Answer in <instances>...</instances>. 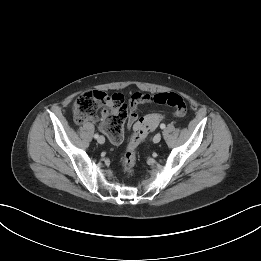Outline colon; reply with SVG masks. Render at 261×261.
<instances>
[{"instance_id": "obj_1", "label": "colon", "mask_w": 261, "mask_h": 261, "mask_svg": "<svg viewBox=\"0 0 261 261\" xmlns=\"http://www.w3.org/2000/svg\"><path fill=\"white\" fill-rule=\"evenodd\" d=\"M158 104L171 107L176 116L186 113V104L176 93H161L154 97ZM73 114L78 123L94 120L101 114V129L109 137L111 143L120 145L125 140L124 123L128 117L127 106L118 95H109L101 91H88L81 94L73 105ZM163 119L160 114H151L139 119L134 127L127 149L122 159V169L130 173L136 163V151L148 133L154 130Z\"/></svg>"}]
</instances>
